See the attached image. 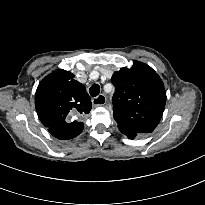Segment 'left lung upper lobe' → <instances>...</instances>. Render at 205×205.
<instances>
[{
  "label": "left lung upper lobe",
  "instance_id": "obj_1",
  "mask_svg": "<svg viewBox=\"0 0 205 205\" xmlns=\"http://www.w3.org/2000/svg\"><path fill=\"white\" fill-rule=\"evenodd\" d=\"M115 86L113 117L118 127L146 134L161 120L166 91L159 75L147 64L134 61L112 75Z\"/></svg>",
  "mask_w": 205,
  "mask_h": 205
}]
</instances>
